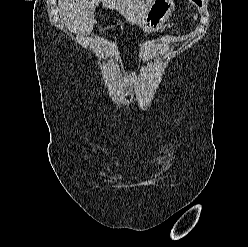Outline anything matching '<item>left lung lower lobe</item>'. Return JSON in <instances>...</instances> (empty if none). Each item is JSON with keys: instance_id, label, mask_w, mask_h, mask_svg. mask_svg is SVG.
Here are the masks:
<instances>
[{"instance_id": "1", "label": "left lung lower lobe", "mask_w": 248, "mask_h": 247, "mask_svg": "<svg viewBox=\"0 0 248 247\" xmlns=\"http://www.w3.org/2000/svg\"><path fill=\"white\" fill-rule=\"evenodd\" d=\"M195 3H197L199 6H201L202 5V2H201V0H193Z\"/></svg>"}]
</instances>
